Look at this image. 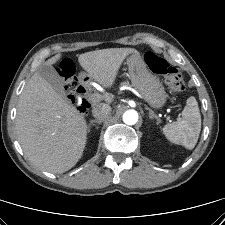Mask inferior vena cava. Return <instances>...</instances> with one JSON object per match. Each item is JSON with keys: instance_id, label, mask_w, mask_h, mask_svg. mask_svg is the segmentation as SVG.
Here are the masks:
<instances>
[{"instance_id": "602c4592", "label": "inferior vena cava", "mask_w": 225, "mask_h": 225, "mask_svg": "<svg viewBox=\"0 0 225 225\" xmlns=\"http://www.w3.org/2000/svg\"><path fill=\"white\" fill-rule=\"evenodd\" d=\"M92 114L99 120H104L111 114V107L108 104H98L93 107Z\"/></svg>"}]
</instances>
